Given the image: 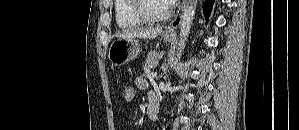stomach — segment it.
<instances>
[{
  "instance_id": "1",
  "label": "stomach",
  "mask_w": 299,
  "mask_h": 130,
  "mask_svg": "<svg viewBox=\"0 0 299 130\" xmlns=\"http://www.w3.org/2000/svg\"><path fill=\"white\" fill-rule=\"evenodd\" d=\"M165 41H171L175 34L163 33ZM140 52V46L137 40L132 38H118L114 40L109 48L108 58L113 65H123L135 59Z\"/></svg>"
}]
</instances>
